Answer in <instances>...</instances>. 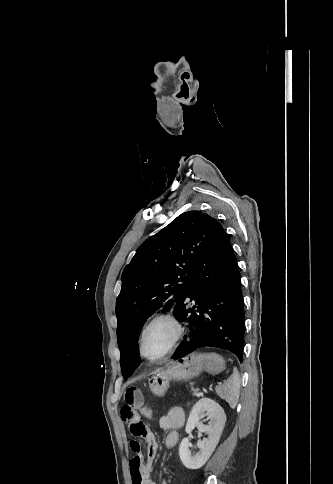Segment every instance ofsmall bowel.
<instances>
[{"mask_svg":"<svg viewBox=\"0 0 333 484\" xmlns=\"http://www.w3.org/2000/svg\"><path fill=\"white\" fill-rule=\"evenodd\" d=\"M143 404L142 392L136 387H129L124 393V405L120 410V415L122 420L129 425L132 435L136 438H143L147 444V454L144 457L139 443L135 440L130 442V447L134 452L129 463L132 484H156L151 474L159 444L155 434L141 419ZM184 421V410L181 407L171 408L166 415L160 418V427L168 431L165 438V446L168 449L178 445L180 441L178 430L184 425ZM163 484H167V482L164 481Z\"/></svg>","mask_w":333,"mask_h":484,"instance_id":"obj_1","label":"small bowel"}]
</instances>
